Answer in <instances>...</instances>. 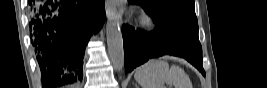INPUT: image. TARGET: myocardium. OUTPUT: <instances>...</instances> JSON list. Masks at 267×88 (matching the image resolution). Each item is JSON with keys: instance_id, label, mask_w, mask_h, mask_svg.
<instances>
[{"instance_id": "myocardium-1", "label": "myocardium", "mask_w": 267, "mask_h": 88, "mask_svg": "<svg viewBox=\"0 0 267 88\" xmlns=\"http://www.w3.org/2000/svg\"><path fill=\"white\" fill-rule=\"evenodd\" d=\"M138 22L144 28H153L155 26L153 17L147 13H141L138 16Z\"/></svg>"}]
</instances>
